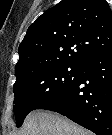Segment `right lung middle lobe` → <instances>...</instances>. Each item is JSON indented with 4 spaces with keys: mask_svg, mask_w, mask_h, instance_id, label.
Segmentation results:
<instances>
[{
    "mask_svg": "<svg viewBox=\"0 0 112 135\" xmlns=\"http://www.w3.org/2000/svg\"><path fill=\"white\" fill-rule=\"evenodd\" d=\"M80 63L59 61L48 63L38 71L16 79L14 113L16 127H20L27 114L61 95L77 80Z\"/></svg>",
    "mask_w": 112,
    "mask_h": 135,
    "instance_id": "dd1d6c3e",
    "label": "right lung middle lobe"
}]
</instances>
